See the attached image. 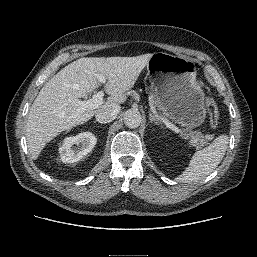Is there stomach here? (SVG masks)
<instances>
[{"label": "stomach", "mask_w": 257, "mask_h": 257, "mask_svg": "<svg viewBox=\"0 0 257 257\" xmlns=\"http://www.w3.org/2000/svg\"><path fill=\"white\" fill-rule=\"evenodd\" d=\"M147 72L160 109L186 128L202 125L206 118L205 94L196 81L194 61L183 56L156 52Z\"/></svg>", "instance_id": "obj_1"}]
</instances>
